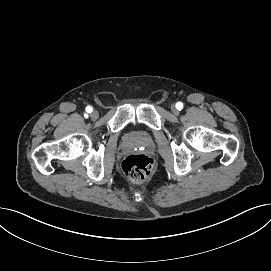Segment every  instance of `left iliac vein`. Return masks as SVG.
I'll return each mask as SVG.
<instances>
[{
	"mask_svg": "<svg viewBox=\"0 0 271 271\" xmlns=\"http://www.w3.org/2000/svg\"><path fill=\"white\" fill-rule=\"evenodd\" d=\"M171 111H172L173 114H178V109L176 108L175 105H173V106L171 107Z\"/></svg>",
	"mask_w": 271,
	"mask_h": 271,
	"instance_id": "1",
	"label": "left iliac vein"
}]
</instances>
